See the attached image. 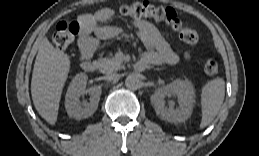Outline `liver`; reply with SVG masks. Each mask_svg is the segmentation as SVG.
Returning a JSON list of instances; mask_svg holds the SVG:
<instances>
[{"mask_svg": "<svg viewBox=\"0 0 259 156\" xmlns=\"http://www.w3.org/2000/svg\"><path fill=\"white\" fill-rule=\"evenodd\" d=\"M69 70V56L55 49L46 37L42 38L32 73L31 95L36 110L51 125L57 121L61 94Z\"/></svg>", "mask_w": 259, "mask_h": 156, "instance_id": "1", "label": "liver"}]
</instances>
